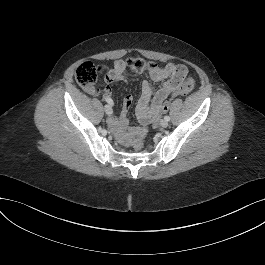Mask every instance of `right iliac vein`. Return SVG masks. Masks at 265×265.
I'll return each mask as SVG.
<instances>
[{"instance_id":"63e3f726","label":"right iliac vein","mask_w":265,"mask_h":265,"mask_svg":"<svg viewBox=\"0 0 265 265\" xmlns=\"http://www.w3.org/2000/svg\"><path fill=\"white\" fill-rule=\"evenodd\" d=\"M104 109L108 116L112 114V108L109 105H105Z\"/></svg>"}]
</instances>
